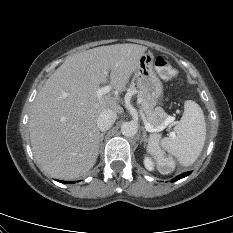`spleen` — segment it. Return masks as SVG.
<instances>
[{
  "instance_id": "1",
  "label": "spleen",
  "mask_w": 233,
  "mask_h": 233,
  "mask_svg": "<svg viewBox=\"0 0 233 233\" xmlns=\"http://www.w3.org/2000/svg\"><path fill=\"white\" fill-rule=\"evenodd\" d=\"M206 139V123L201 107L192 100L184 103V113L174 127V135L164 137L159 142L152 135L148 152L154 155L162 174L173 171L174 162L163 156L165 150L183 166L192 165L201 154Z\"/></svg>"
}]
</instances>
